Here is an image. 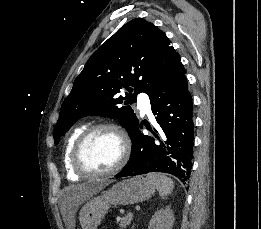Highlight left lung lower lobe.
I'll use <instances>...</instances> for the list:
<instances>
[{"label": "left lung lower lobe", "instance_id": "1", "mask_svg": "<svg viewBox=\"0 0 261 229\" xmlns=\"http://www.w3.org/2000/svg\"><path fill=\"white\" fill-rule=\"evenodd\" d=\"M185 73L180 63L149 92L158 130L154 129L153 136H146L141 133L138 124L130 137L133 143L130 160L115 177L149 172L169 173L180 180L190 176L194 140L193 102Z\"/></svg>", "mask_w": 261, "mask_h": 229}]
</instances>
